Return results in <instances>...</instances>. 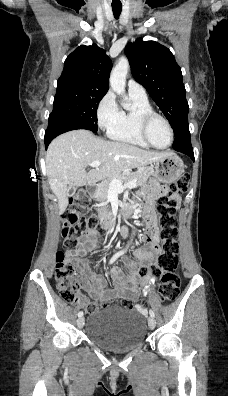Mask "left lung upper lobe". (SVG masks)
<instances>
[{"instance_id":"left-lung-upper-lobe-1","label":"left lung upper lobe","mask_w":228,"mask_h":396,"mask_svg":"<svg viewBox=\"0 0 228 396\" xmlns=\"http://www.w3.org/2000/svg\"><path fill=\"white\" fill-rule=\"evenodd\" d=\"M125 53L133 77L146 88L176 135L188 122L189 106L181 68L173 54L155 41L144 42L142 39L127 44Z\"/></svg>"}]
</instances>
